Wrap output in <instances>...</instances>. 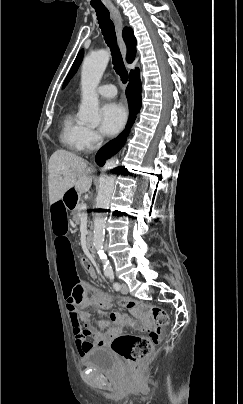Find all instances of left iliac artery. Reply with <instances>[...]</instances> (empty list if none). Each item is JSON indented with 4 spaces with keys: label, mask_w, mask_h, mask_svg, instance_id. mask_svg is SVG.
<instances>
[{
    "label": "left iliac artery",
    "mask_w": 243,
    "mask_h": 404,
    "mask_svg": "<svg viewBox=\"0 0 243 404\" xmlns=\"http://www.w3.org/2000/svg\"><path fill=\"white\" fill-rule=\"evenodd\" d=\"M106 276H107L111 281H113V288H114L116 291H119V290L121 289V285H120L119 283H117V282H114V278H115V277H114L113 272L107 273Z\"/></svg>",
    "instance_id": "left-iliac-artery-1"
}]
</instances>
